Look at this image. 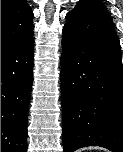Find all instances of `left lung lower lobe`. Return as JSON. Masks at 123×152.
<instances>
[{
	"mask_svg": "<svg viewBox=\"0 0 123 152\" xmlns=\"http://www.w3.org/2000/svg\"><path fill=\"white\" fill-rule=\"evenodd\" d=\"M63 28V149L102 146L123 152V66L112 18L82 1Z\"/></svg>",
	"mask_w": 123,
	"mask_h": 152,
	"instance_id": "0a47b994",
	"label": "left lung lower lobe"
}]
</instances>
